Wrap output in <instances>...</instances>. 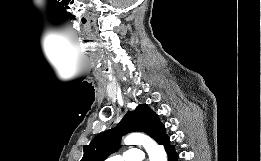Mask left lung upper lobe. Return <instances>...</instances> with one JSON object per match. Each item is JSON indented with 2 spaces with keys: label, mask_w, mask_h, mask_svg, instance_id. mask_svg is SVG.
<instances>
[{
  "label": "left lung upper lobe",
  "mask_w": 261,
  "mask_h": 161,
  "mask_svg": "<svg viewBox=\"0 0 261 161\" xmlns=\"http://www.w3.org/2000/svg\"><path fill=\"white\" fill-rule=\"evenodd\" d=\"M134 131L145 132L158 143L167 136L158 116L146 104H140L128 112L117 127L100 133L89 145H84L81 161H104L119 149L121 137Z\"/></svg>",
  "instance_id": "1"
}]
</instances>
